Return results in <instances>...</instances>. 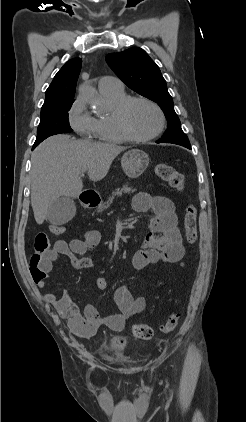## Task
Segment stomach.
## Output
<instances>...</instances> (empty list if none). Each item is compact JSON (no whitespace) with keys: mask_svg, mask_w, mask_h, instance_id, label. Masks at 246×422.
Returning <instances> with one entry per match:
<instances>
[{"mask_svg":"<svg viewBox=\"0 0 246 422\" xmlns=\"http://www.w3.org/2000/svg\"><path fill=\"white\" fill-rule=\"evenodd\" d=\"M149 164L148 155L139 149H131L124 153L121 159V165L124 173L129 178L139 177Z\"/></svg>","mask_w":246,"mask_h":422,"instance_id":"stomach-1","label":"stomach"}]
</instances>
